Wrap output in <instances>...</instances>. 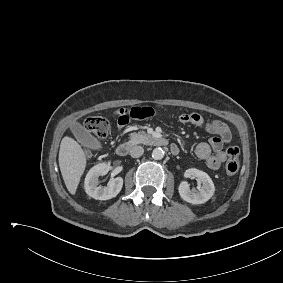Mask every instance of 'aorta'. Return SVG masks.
<instances>
[{
	"instance_id": "aorta-1",
	"label": "aorta",
	"mask_w": 283,
	"mask_h": 283,
	"mask_svg": "<svg viewBox=\"0 0 283 283\" xmlns=\"http://www.w3.org/2000/svg\"><path fill=\"white\" fill-rule=\"evenodd\" d=\"M164 157V150L160 147L155 148L152 151V158L155 160H161Z\"/></svg>"
}]
</instances>
